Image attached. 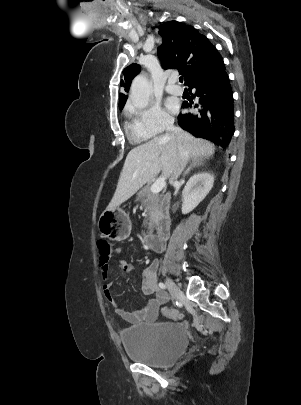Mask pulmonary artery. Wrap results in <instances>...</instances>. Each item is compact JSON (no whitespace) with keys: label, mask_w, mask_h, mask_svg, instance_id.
Instances as JSON below:
<instances>
[{"label":"pulmonary artery","mask_w":301,"mask_h":405,"mask_svg":"<svg viewBox=\"0 0 301 405\" xmlns=\"http://www.w3.org/2000/svg\"><path fill=\"white\" fill-rule=\"evenodd\" d=\"M166 91L174 95H181L183 93V89L177 84V78L175 77L169 79Z\"/></svg>","instance_id":"1"}]
</instances>
